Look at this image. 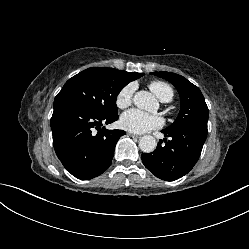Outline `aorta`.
<instances>
[{"mask_svg": "<svg viewBox=\"0 0 249 249\" xmlns=\"http://www.w3.org/2000/svg\"><path fill=\"white\" fill-rule=\"evenodd\" d=\"M134 104L145 110L153 109L156 105L154 96L148 91H138L133 97ZM157 146L156 139L151 135L142 136L139 140V148L145 153H150L155 150Z\"/></svg>", "mask_w": 249, "mask_h": 249, "instance_id": "aorta-1", "label": "aorta"}]
</instances>
